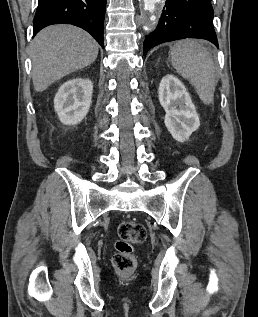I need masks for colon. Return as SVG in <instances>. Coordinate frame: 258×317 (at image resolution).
<instances>
[{
	"label": "colon",
	"instance_id": "5ec220e1",
	"mask_svg": "<svg viewBox=\"0 0 258 317\" xmlns=\"http://www.w3.org/2000/svg\"><path fill=\"white\" fill-rule=\"evenodd\" d=\"M116 252L112 258V266L119 273H131L136 268V256L133 246L142 243L146 231L142 224L135 221H123L119 224Z\"/></svg>",
	"mask_w": 258,
	"mask_h": 317
}]
</instances>
